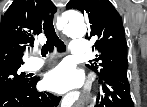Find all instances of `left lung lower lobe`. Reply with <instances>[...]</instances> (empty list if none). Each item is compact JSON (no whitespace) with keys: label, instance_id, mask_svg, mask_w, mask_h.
<instances>
[{"label":"left lung lower lobe","instance_id":"left-lung-lower-lobe-1","mask_svg":"<svg viewBox=\"0 0 147 107\" xmlns=\"http://www.w3.org/2000/svg\"><path fill=\"white\" fill-rule=\"evenodd\" d=\"M99 78L102 84V94L97 97L94 107H134L127 69L118 68Z\"/></svg>","mask_w":147,"mask_h":107}]
</instances>
